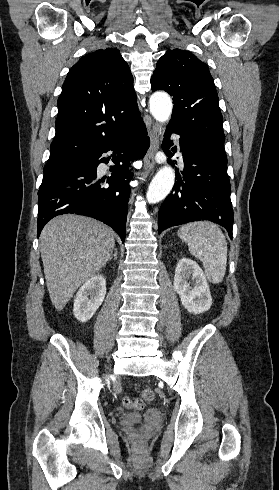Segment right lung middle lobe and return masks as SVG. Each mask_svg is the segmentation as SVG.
Segmentation results:
<instances>
[{
	"mask_svg": "<svg viewBox=\"0 0 279 490\" xmlns=\"http://www.w3.org/2000/svg\"><path fill=\"white\" fill-rule=\"evenodd\" d=\"M78 163H79L78 161H73V162H64V163H56V164H47L43 170L44 171L43 180L49 179L63 172L67 168L77 165Z\"/></svg>",
	"mask_w": 279,
	"mask_h": 490,
	"instance_id": "1",
	"label": "right lung middle lobe"
}]
</instances>
